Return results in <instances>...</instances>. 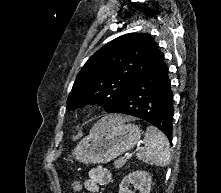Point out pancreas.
<instances>
[{
    "label": "pancreas",
    "instance_id": "obj_1",
    "mask_svg": "<svg viewBox=\"0 0 221 193\" xmlns=\"http://www.w3.org/2000/svg\"><path fill=\"white\" fill-rule=\"evenodd\" d=\"M125 163H126V159L120 158V159L114 161V166H115L116 169H119L122 166H124Z\"/></svg>",
    "mask_w": 221,
    "mask_h": 193
}]
</instances>
